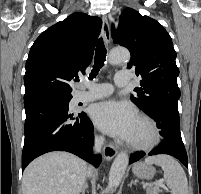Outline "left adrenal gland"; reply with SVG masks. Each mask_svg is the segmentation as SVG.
Returning a JSON list of instances; mask_svg holds the SVG:
<instances>
[{"label":"left adrenal gland","instance_id":"obj_1","mask_svg":"<svg viewBox=\"0 0 201 194\" xmlns=\"http://www.w3.org/2000/svg\"><path fill=\"white\" fill-rule=\"evenodd\" d=\"M132 185H136V183L133 180L128 184V186L131 187Z\"/></svg>","mask_w":201,"mask_h":194}]
</instances>
